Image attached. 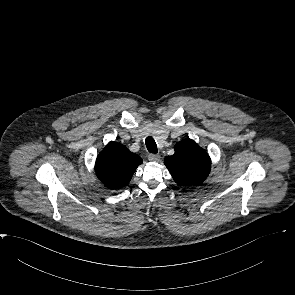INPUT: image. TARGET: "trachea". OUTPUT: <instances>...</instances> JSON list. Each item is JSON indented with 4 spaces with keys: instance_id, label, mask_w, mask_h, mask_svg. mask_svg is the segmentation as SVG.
I'll return each instance as SVG.
<instances>
[{
    "instance_id": "3493384b",
    "label": "trachea",
    "mask_w": 295,
    "mask_h": 295,
    "mask_svg": "<svg viewBox=\"0 0 295 295\" xmlns=\"http://www.w3.org/2000/svg\"><path fill=\"white\" fill-rule=\"evenodd\" d=\"M145 143H146V147L150 153L155 154L158 152L156 142L152 137H147L145 140Z\"/></svg>"
}]
</instances>
